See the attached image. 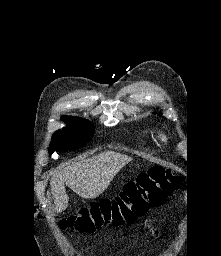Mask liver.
Instances as JSON below:
<instances>
[{
  "label": "liver",
  "instance_id": "liver-1",
  "mask_svg": "<svg viewBox=\"0 0 221 256\" xmlns=\"http://www.w3.org/2000/svg\"><path fill=\"white\" fill-rule=\"evenodd\" d=\"M131 161L132 158L127 155L107 151L54 171L50 187L55 211L60 213L68 207L65 185L82 198L95 199Z\"/></svg>",
  "mask_w": 221,
  "mask_h": 256
}]
</instances>
